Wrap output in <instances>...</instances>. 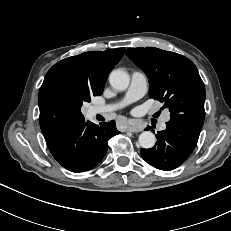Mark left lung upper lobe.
<instances>
[{
	"instance_id": "left-lung-upper-lobe-1",
	"label": "left lung upper lobe",
	"mask_w": 231,
	"mask_h": 231,
	"mask_svg": "<svg viewBox=\"0 0 231 231\" xmlns=\"http://www.w3.org/2000/svg\"><path fill=\"white\" fill-rule=\"evenodd\" d=\"M126 55L146 73L149 96L164 102L170 121L200 133L206 93L194 63L180 54L154 47L127 49Z\"/></svg>"
}]
</instances>
